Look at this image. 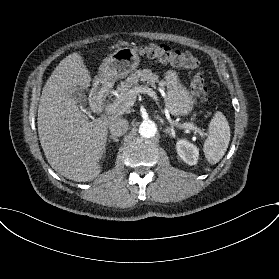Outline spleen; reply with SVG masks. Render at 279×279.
Here are the masks:
<instances>
[{"instance_id":"3e777b00","label":"spleen","mask_w":279,"mask_h":279,"mask_svg":"<svg viewBox=\"0 0 279 279\" xmlns=\"http://www.w3.org/2000/svg\"><path fill=\"white\" fill-rule=\"evenodd\" d=\"M230 138V126L222 113L217 112L208 125V135L203 145L204 156L210 164H216L223 158Z\"/></svg>"}]
</instances>
